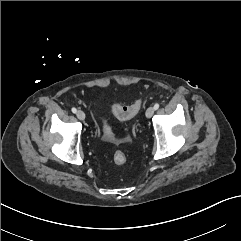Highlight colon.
Segmentation results:
<instances>
[{"instance_id": "obj_1", "label": "colon", "mask_w": 241, "mask_h": 241, "mask_svg": "<svg viewBox=\"0 0 241 241\" xmlns=\"http://www.w3.org/2000/svg\"><path fill=\"white\" fill-rule=\"evenodd\" d=\"M142 107V101L137 100L131 105H121L117 104L114 106V113L117 118L121 120H127L135 116ZM104 136L108 140H114V134L108 125L103 127ZM114 163L118 166L124 165L126 163V155L122 151H116L113 156Z\"/></svg>"}]
</instances>
